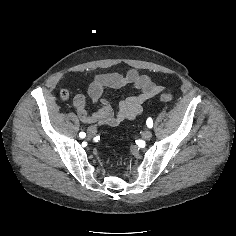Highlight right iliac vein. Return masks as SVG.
Returning <instances> with one entry per match:
<instances>
[{
    "mask_svg": "<svg viewBox=\"0 0 236 236\" xmlns=\"http://www.w3.org/2000/svg\"><path fill=\"white\" fill-rule=\"evenodd\" d=\"M96 133V128L94 126H91L87 130L88 137H93Z\"/></svg>",
    "mask_w": 236,
    "mask_h": 236,
    "instance_id": "right-iliac-vein-1",
    "label": "right iliac vein"
}]
</instances>
